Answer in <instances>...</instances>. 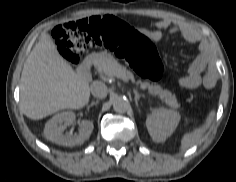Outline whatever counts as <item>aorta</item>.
Here are the masks:
<instances>
[{
    "instance_id": "1",
    "label": "aorta",
    "mask_w": 236,
    "mask_h": 182,
    "mask_svg": "<svg viewBox=\"0 0 236 182\" xmlns=\"http://www.w3.org/2000/svg\"><path fill=\"white\" fill-rule=\"evenodd\" d=\"M112 104H113V109L119 113H124L129 108V101L126 97L123 96H116L113 99Z\"/></svg>"
}]
</instances>
